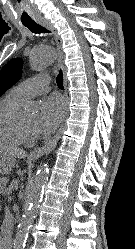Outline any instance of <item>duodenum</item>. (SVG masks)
<instances>
[{
	"label": "duodenum",
	"mask_w": 135,
	"mask_h": 249,
	"mask_svg": "<svg viewBox=\"0 0 135 249\" xmlns=\"http://www.w3.org/2000/svg\"><path fill=\"white\" fill-rule=\"evenodd\" d=\"M0 248L1 249H12V241L10 238L2 237L0 239Z\"/></svg>",
	"instance_id": "410a0bca"
}]
</instances>
